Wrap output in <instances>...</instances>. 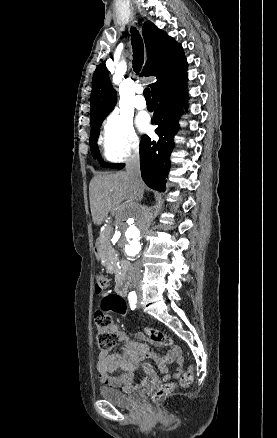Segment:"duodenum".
<instances>
[{
	"instance_id": "duodenum-1",
	"label": "duodenum",
	"mask_w": 277,
	"mask_h": 438,
	"mask_svg": "<svg viewBox=\"0 0 277 438\" xmlns=\"http://www.w3.org/2000/svg\"><path fill=\"white\" fill-rule=\"evenodd\" d=\"M94 253L96 257H100V244L96 243L94 246ZM130 271V263L128 261H122L121 262V274L118 275L116 280V291L120 295H126L127 294V282L126 277L129 274Z\"/></svg>"
}]
</instances>
